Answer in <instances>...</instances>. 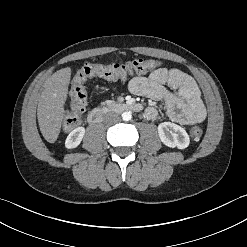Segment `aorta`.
<instances>
[{
	"label": "aorta",
	"mask_w": 247,
	"mask_h": 247,
	"mask_svg": "<svg viewBox=\"0 0 247 247\" xmlns=\"http://www.w3.org/2000/svg\"><path fill=\"white\" fill-rule=\"evenodd\" d=\"M131 118H132L131 112H123V113H122V119H123L124 121H130Z\"/></svg>",
	"instance_id": "762f6f07"
}]
</instances>
